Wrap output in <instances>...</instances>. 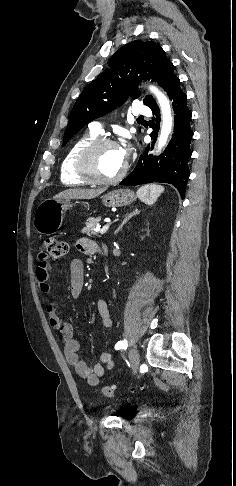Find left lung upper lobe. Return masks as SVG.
<instances>
[{
  "mask_svg": "<svg viewBox=\"0 0 236 486\" xmlns=\"http://www.w3.org/2000/svg\"><path fill=\"white\" fill-rule=\"evenodd\" d=\"M108 65L109 68L84 89L73 106L64 144L88 122L120 106L129 96L139 97L137 85L141 79H152L164 88L176 77L172 62L153 41L136 40L126 44L111 57ZM153 100L148 95L144 104L148 106Z\"/></svg>",
  "mask_w": 236,
  "mask_h": 486,
  "instance_id": "obj_1",
  "label": "left lung upper lobe"
}]
</instances>
